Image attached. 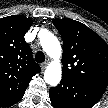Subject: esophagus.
Instances as JSON below:
<instances>
[{"label": "esophagus", "mask_w": 108, "mask_h": 108, "mask_svg": "<svg viewBox=\"0 0 108 108\" xmlns=\"http://www.w3.org/2000/svg\"><path fill=\"white\" fill-rule=\"evenodd\" d=\"M48 65V61L41 64V69H45Z\"/></svg>", "instance_id": "1"}]
</instances>
